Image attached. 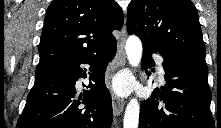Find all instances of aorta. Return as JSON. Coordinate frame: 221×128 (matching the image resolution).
Returning <instances> with one entry per match:
<instances>
[{
	"label": "aorta",
	"instance_id": "1",
	"mask_svg": "<svg viewBox=\"0 0 221 128\" xmlns=\"http://www.w3.org/2000/svg\"><path fill=\"white\" fill-rule=\"evenodd\" d=\"M125 50L129 64L132 67H137L142 58L141 40L135 35L129 36L126 41ZM139 114V102L136 98H132L125 109L123 128H138Z\"/></svg>",
	"mask_w": 221,
	"mask_h": 128
}]
</instances>
